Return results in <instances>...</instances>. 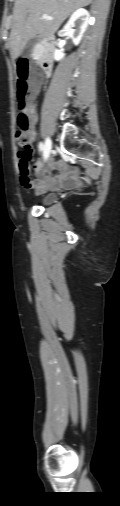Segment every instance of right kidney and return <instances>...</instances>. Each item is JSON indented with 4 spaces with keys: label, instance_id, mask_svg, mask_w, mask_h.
Wrapping results in <instances>:
<instances>
[{
    "label": "right kidney",
    "instance_id": "ca27d5eb",
    "mask_svg": "<svg viewBox=\"0 0 120 506\" xmlns=\"http://www.w3.org/2000/svg\"><path fill=\"white\" fill-rule=\"evenodd\" d=\"M90 14L83 8L77 9L69 18L67 23L61 30V35L68 36L72 39L75 45H78L82 39V36L88 26ZM65 54L62 50L56 49L54 52V59L60 61L63 59Z\"/></svg>",
    "mask_w": 120,
    "mask_h": 506
}]
</instances>
